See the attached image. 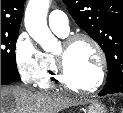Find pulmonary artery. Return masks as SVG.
<instances>
[{"instance_id":"1","label":"pulmonary artery","mask_w":123,"mask_h":113,"mask_svg":"<svg viewBox=\"0 0 123 113\" xmlns=\"http://www.w3.org/2000/svg\"><path fill=\"white\" fill-rule=\"evenodd\" d=\"M48 24L58 34L66 35L69 32V20L67 15L62 11H52L48 17Z\"/></svg>"}]
</instances>
